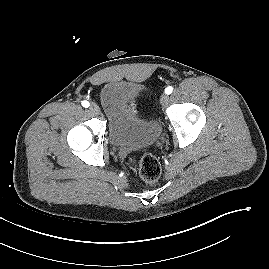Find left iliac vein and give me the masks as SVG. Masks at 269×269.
<instances>
[{"label": "left iliac vein", "instance_id": "left-iliac-vein-1", "mask_svg": "<svg viewBox=\"0 0 269 269\" xmlns=\"http://www.w3.org/2000/svg\"><path fill=\"white\" fill-rule=\"evenodd\" d=\"M160 102H161L162 106H166L169 102V96L167 94H162V96L160 98Z\"/></svg>", "mask_w": 269, "mask_h": 269}]
</instances>
